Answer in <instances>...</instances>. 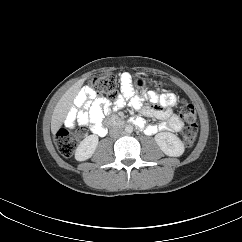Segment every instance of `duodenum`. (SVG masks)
<instances>
[{"label": "duodenum", "mask_w": 242, "mask_h": 242, "mask_svg": "<svg viewBox=\"0 0 242 242\" xmlns=\"http://www.w3.org/2000/svg\"><path fill=\"white\" fill-rule=\"evenodd\" d=\"M125 124H126L125 121H123L121 118L116 116L111 117L107 122V126L109 127H118V126H123ZM105 132H106V128L104 127V133Z\"/></svg>", "instance_id": "duodenum-1"}]
</instances>
